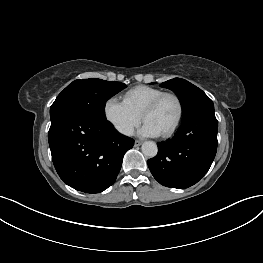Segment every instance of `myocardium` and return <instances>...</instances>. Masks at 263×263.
<instances>
[{"label":"myocardium","mask_w":263,"mask_h":263,"mask_svg":"<svg viewBox=\"0 0 263 263\" xmlns=\"http://www.w3.org/2000/svg\"><path fill=\"white\" fill-rule=\"evenodd\" d=\"M167 97H172L176 100L177 105H178V115H177V118H176L174 124L171 126V128L169 130H167L166 132L161 134V136L164 138L171 137L177 131V129L179 128V126L183 120L184 104H183L181 97L174 92H164L161 95L157 96L155 99H153L151 102H149L144 107V109L141 113V118L144 120L145 115L147 113L153 111L154 109H156L160 105V103Z\"/></svg>","instance_id":"f54148a6"}]
</instances>
